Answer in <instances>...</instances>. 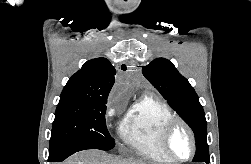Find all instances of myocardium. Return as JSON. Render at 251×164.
Returning <instances> with one entry per match:
<instances>
[{
  "mask_svg": "<svg viewBox=\"0 0 251 164\" xmlns=\"http://www.w3.org/2000/svg\"><path fill=\"white\" fill-rule=\"evenodd\" d=\"M177 127H182L186 130V132L188 133L190 140H191V153L188 157L186 158H179L176 157L175 155H173V153L170 150L169 147V140L171 138V135L173 134L174 130ZM160 145L162 148V151L164 152V154L171 159L173 162H187L189 160H191L195 153H196V138H195V134L193 129L190 127V125L183 120L180 117H173L170 120H168L165 125L163 126L162 130H161V134H160Z\"/></svg>",
  "mask_w": 251,
  "mask_h": 164,
  "instance_id": "f54148a6",
  "label": "myocardium"
}]
</instances>
